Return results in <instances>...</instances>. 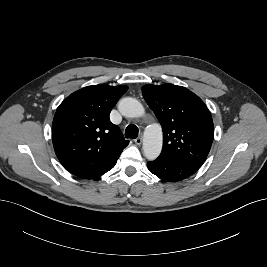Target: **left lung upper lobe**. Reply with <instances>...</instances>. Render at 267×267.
Instances as JSON below:
<instances>
[{
	"instance_id": "5c2ea615",
	"label": "left lung upper lobe",
	"mask_w": 267,
	"mask_h": 267,
	"mask_svg": "<svg viewBox=\"0 0 267 267\" xmlns=\"http://www.w3.org/2000/svg\"><path fill=\"white\" fill-rule=\"evenodd\" d=\"M142 94L163 130L158 159L201 167L210 151L214 126L204 102L185 87L144 85Z\"/></svg>"
}]
</instances>
